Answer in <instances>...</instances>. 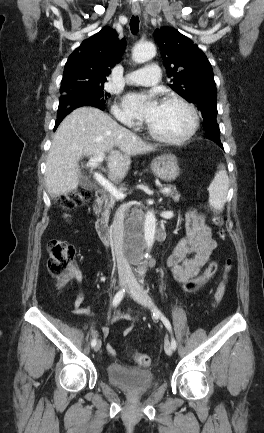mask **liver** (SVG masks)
I'll list each match as a JSON object with an SVG mask.
<instances>
[{
  "label": "liver",
  "instance_id": "liver-1",
  "mask_svg": "<svg viewBox=\"0 0 264 433\" xmlns=\"http://www.w3.org/2000/svg\"><path fill=\"white\" fill-rule=\"evenodd\" d=\"M155 149L100 109L78 108L65 117L54 134L46 161L48 193L58 197L77 189L81 177L78 161L84 155L108 153V176L118 182L126 176L132 156Z\"/></svg>",
  "mask_w": 264,
  "mask_h": 433
}]
</instances>
